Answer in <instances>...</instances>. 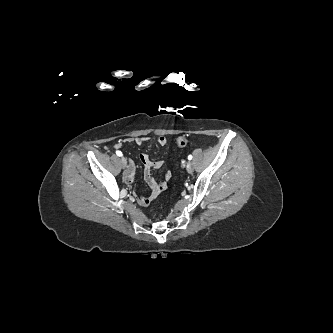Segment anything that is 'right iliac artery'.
<instances>
[{
  "instance_id": "1",
  "label": "right iliac artery",
  "mask_w": 333,
  "mask_h": 333,
  "mask_svg": "<svg viewBox=\"0 0 333 333\" xmlns=\"http://www.w3.org/2000/svg\"><path fill=\"white\" fill-rule=\"evenodd\" d=\"M116 155H118V156H122L123 154H122L121 151H116Z\"/></svg>"
}]
</instances>
